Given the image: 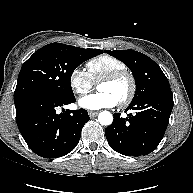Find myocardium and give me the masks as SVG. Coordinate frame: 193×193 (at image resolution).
Segmentation results:
<instances>
[{
    "label": "myocardium",
    "instance_id": "obj_1",
    "mask_svg": "<svg viewBox=\"0 0 193 193\" xmlns=\"http://www.w3.org/2000/svg\"><path fill=\"white\" fill-rule=\"evenodd\" d=\"M122 78H127L129 80L130 90H129L128 95L123 100L118 102V104L121 107H126L133 101V99L136 95V91H137L136 78H135V76L133 75V73L131 71H129L128 69H122V70L112 72V73L106 75L105 77H103L98 82V85L101 84V83L116 82V81H118Z\"/></svg>",
    "mask_w": 193,
    "mask_h": 193
}]
</instances>
